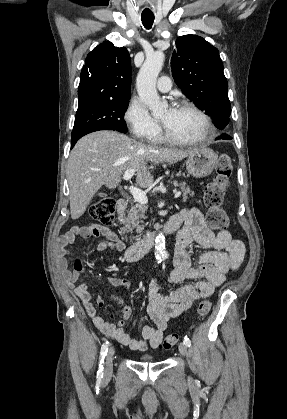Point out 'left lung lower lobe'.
Instances as JSON below:
<instances>
[{
  "instance_id": "0a47b994",
  "label": "left lung lower lobe",
  "mask_w": 287,
  "mask_h": 419,
  "mask_svg": "<svg viewBox=\"0 0 287 419\" xmlns=\"http://www.w3.org/2000/svg\"><path fill=\"white\" fill-rule=\"evenodd\" d=\"M227 130V129H226ZM218 139H224V140H230V139H232V137L231 136H229L228 134H226V133H223V134H221L220 136H218L217 138H216V140H218Z\"/></svg>"
}]
</instances>
